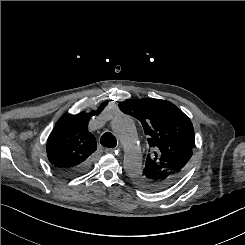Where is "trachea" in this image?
<instances>
[{
	"instance_id": "1",
	"label": "trachea",
	"mask_w": 245,
	"mask_h": 245,
	"mask_svg": "<svg viewBox=\"0 0 245 245\" xmlns=\"http://www.w3.org/2000/svg\"><path fill=\"white\" fill-rule=\"evenodd\" d=\"M101 145L104 147L112 148L117 145V140L115 136L110 132H105L101 139H100Z\"/></svg>"
}]
</instances>
